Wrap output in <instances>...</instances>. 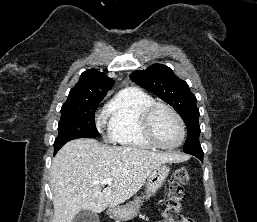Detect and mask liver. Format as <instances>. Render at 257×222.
<instances>
[{"instance_id": "1", "label": "liver", "mask_w": 257, "mask_h": 222, "mask_svg": "<svg viewBox=\"0 0 257 222\" xmlns=\"http://www.w3.org/2000/svg\"><path fill=\"white\" fill-rule=\"evenodd\" d=\"M187 158L134 147H110L94 139L69 141L52 161V222H72L81 210L97 214L116 207L136 194L157 166ZM106 178L112 183L102 191V184L96 182Z\"/></svg>"}]
</instances>
